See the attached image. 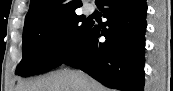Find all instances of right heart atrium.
Masks as SVG:
<instances>
[{
  "label": "right heart atrium",
  "instance_id": "right-heart-atrium-1",
  "mask_svg": "<svg viewBox=\"0 0 173 91\" xmlns=\"http://www.w3.org/2000/svg\"><path fill=\"white\" fill-rule=\"evenodd\" d=\"M55 50L57 53L59 54H63L66 52L67 50V44L65 41L61 40L59 42H57L56 46H55Z\"/></svg>",
  "mask_w": 173,
  "mask_h": 91
}]
</instances>
